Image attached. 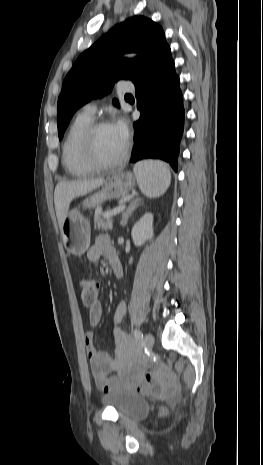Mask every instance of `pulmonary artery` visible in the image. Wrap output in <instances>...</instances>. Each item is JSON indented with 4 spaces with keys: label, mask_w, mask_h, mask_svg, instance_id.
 <instances>
[{
    "label": "pulmonary artery",
    "mask_w": 263,
    "mask_h": 465,
    "mask_svg": "<svg viewBox=\"0 0 263 465\" xmlns=\"http://www.w3.org/2000/svg\"><path fill=\"white\" fill-rule=\"evenodd\" d=\"M120 91L121 92L133 91V86L129 85V84H122L120 86ZM95 112H96V104L93 103V102L85 104L82 107V111H81L82 114L87 115V116L92 117V118H93Z\"/></svg>",
    "instance_id": "pulmonary-artery-1"
}]
</instances>
